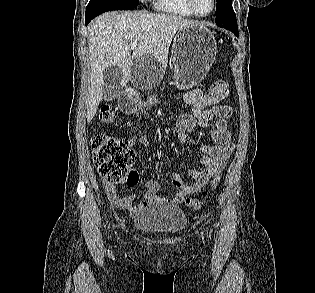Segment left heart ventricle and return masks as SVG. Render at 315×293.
Here are the masks:
<instances>
[{"mask_svg":"<svg viewBox=\"0 0 315 293\" xmlns=\"http://www.w3.org/2000/svg\"><path fill=\"white\" fill-rule=\"evenodd\" d=\"M195 4L201 14H207L212 8V0H195Z\"/></svg>","mask_w":315,"mask_h":293,"instance_id":"obj_1","label":"left heart ventricle"}]
</instances>
